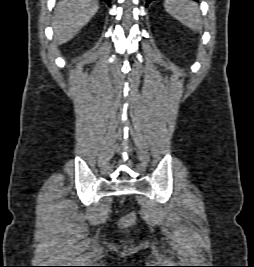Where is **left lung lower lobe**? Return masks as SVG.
Masks as SVG:
<instances>
[{
	"label": "left lung lower lobe",
	"mask_w": 254,
	"mask_h": 267,
	"mask_svg": "<svg viewBox=\"0 0 254 267\" xmlns=\"http://www.w3.org/2000/svg\"><path fill=\"white\" fill-rule=\"evenodd\" d=\"M152 1H153V0H147V1H146V6H148L149 3L152 2ZM195 1H197V0H195Z\"/></svg>",
	"instance_id": "obj_1"
}]
</instances>
